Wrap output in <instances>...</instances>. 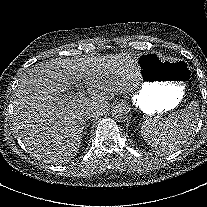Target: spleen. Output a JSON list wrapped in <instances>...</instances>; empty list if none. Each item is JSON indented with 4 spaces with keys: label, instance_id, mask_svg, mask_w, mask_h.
<instances>
[{
    "label": "spleen",
    "instance_id": "3e777b00",
    "mask_svg": "<svg viewBox=\"0 0 207 207\" xmlns=\"http://www.w3.org/2000/svg\"><path fill=\"white\" fill-rule=\"evenodd\" d=\"M200 115V108L191 105L166 118L144 122L141 131L152 146L161 148L176 146L192 135Z\"/></svg>",
    "mask_w": 207,
    "mask_h": 207
}]
</instances>
